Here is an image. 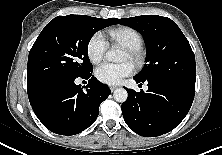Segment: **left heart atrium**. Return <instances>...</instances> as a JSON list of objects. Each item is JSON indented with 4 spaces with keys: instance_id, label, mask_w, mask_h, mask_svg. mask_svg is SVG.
<instances>
[{
    "instance_id": "39dd6f15",
    "label": "left heart atrium",
    "mask_w": 222,
    "mask_h": 155,
    "mask_svg": "<svg viewBox=\"0 0 222 155\" xmlns=\"http://www.w3.org/2000/svg\"><path fill=\"white\" fill-rule=\"evenodd\" d=\"M133 65L124 62L120 64L103 63L95 72L99 81L105 84L114 85L119 84L125 77L133 73Z\"/></svg>"
}]
</instances>
